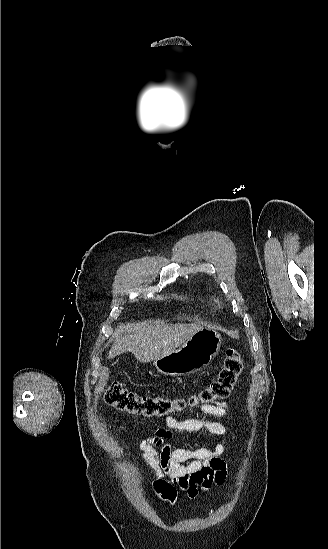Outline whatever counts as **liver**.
I'll return each instance as SVG.
<instances>
[{"label":"liver","mask_w":328,"mask_h":549,"mask_svg":"<svg viewBox=\"0 0 328 549\" xmlns=\"http://www.w3.org/2000/svg\"><path fill=\"white\" fill-rule=\"evenodd\" d=\"M202 325L196 323H178L164 325L159 321L127 323L116 329L115 345L108 353V359H114L122 353H132L140 363H151L159 357L174 353L180 345L188 341Z\"/></svg>","instance_id":"1"}]
</instances>
